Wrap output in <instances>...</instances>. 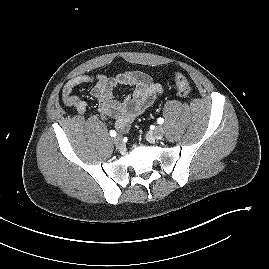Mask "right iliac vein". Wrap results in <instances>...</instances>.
<instances>
[{"label":"right iliac vein","mask_w":269,"mask_h":269,"mask_svg":"<svg viewBox=\"0 0 269 269\" xmlns=\"http://www.w3.org/2000/svg\"><path fill=\"white\" fill-rule=\"evenodd\" d=\"M113 143L116 145V146H122L123 145V141H122V137L117 135L113 138Z\"/></svg>","instance_id":"right-iliac-vein-1"}]
</instances>
